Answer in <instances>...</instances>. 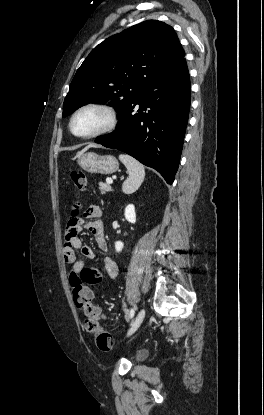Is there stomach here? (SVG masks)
Masks as SVG:
<instances>
[{"mask_svg": "<svg viewBox=\"0 0 264 415\" xmlns=\"http://www.w3.org/2000/svg\"><path fill=\"white\" fill-rule=\"evenodd\" d=\"M78 165L87 172L112 174L119 169L118 160L112 155H98L94 152L80 153Z\"/></svg>", "mask_w": 264, "mask_h": 415, "instance_id": "obj_1", "label": "stomach"}]
</instances>
